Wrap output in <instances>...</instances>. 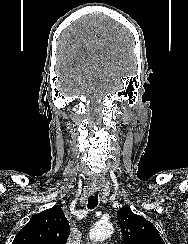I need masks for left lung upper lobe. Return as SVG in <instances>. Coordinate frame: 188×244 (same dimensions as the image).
<instances>
[{
	"instance_id": "left-lung-upper-lobe-1",
	"label": "left lung upper lobe",
	"mask_w": 188,
	"mask_h": 244,
	"mask_svg": "<svg viewBox=\"0 0 188 244\" xmlns=\"http://www.w3.org/2000/svg\"><path fill=\"white\" fill-rule=\"evenodd\" d=\"M124 244H165L156 227L128 208L117 212Z\"/></svg>"
}]
</instances>
